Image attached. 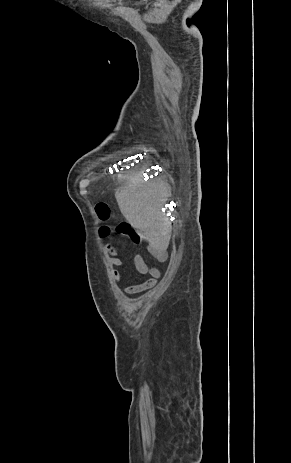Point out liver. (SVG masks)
Wrapping results in <instances>:
<instances>
[{
	"mask_svg": "<svg viewBox=\"0 0 291 463\" xmlns=\"http://www.w3.org/2000/svg\"><path fill=\"white\" fill-rule=\"evenodd\" d=\"M118 177L125 180L115 195L121 213L138 235L148 241V250L152 255L166 252L171 238V225L161 212L165 201V185L145 182L141 174Z\"/></svg>",
	"mask_w": 291,
	"mask_h": 463,
	"instance_id": "1",
	"label": "liver"
}]
</instances>
